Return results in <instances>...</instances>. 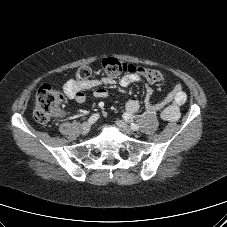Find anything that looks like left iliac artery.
Masks as SVG:
<instances>
[{
  "label": "left iliac artery",
  "instance_id": "obj_1",
  "mask_svg": "<svg viewBox=\"0 0 227 227\" xmlns=\"http://www.w3.org/2000/svg\"><path fill=\"white\" fill-rule=\"evenodd\" d=\"M131 128H132L133 130H138V129H139V125L136 124V123H131Z\"/></svg>",
  "mask_w": 227,
  "mask_h": 227
}]
</instances>
